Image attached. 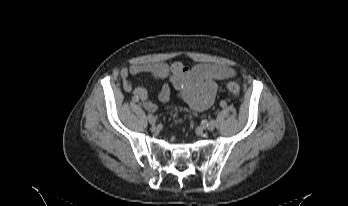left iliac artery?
I'll list each match as a JSON object with an SVG mask.
<instances>
[{"label":"left iliac artery","mask_w":348,"mask_h":206,"mask_svg":"<svg viewBox=\"0 0 348 206\" xmlns=\"http://www.w3.org/2000/svg\"><path fill=\"white\" fill-rule=\"evenodd\" d=\"M220 105L222 108H225L227 106V102L226 101H221Z\"/></svg>","instance_id":"44dca946"}]
</instances>
